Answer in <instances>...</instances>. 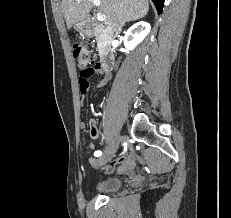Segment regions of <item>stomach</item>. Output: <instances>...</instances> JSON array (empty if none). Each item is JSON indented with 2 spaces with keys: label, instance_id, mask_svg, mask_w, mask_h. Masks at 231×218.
Wrapping results in <instances>:
<instances>
[{
  "label": "stomach",
  "instance_id": "0dacf381",
  "mask_svg": "<svg viewBox=\"0 0 231 218\" xmlns=\"http://www.w3.org/2000/svg\"><path fill=\"white\" fill-rule=\"evenodd\" d=\"M75 30L82 34V35H85L88 33V28H87V24L85 21H80V22H77L74 26Z\"/></svg>",
  "mask_w": 231,
  "mask_h": 218
}]
</instances>
